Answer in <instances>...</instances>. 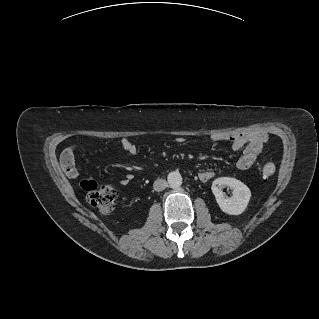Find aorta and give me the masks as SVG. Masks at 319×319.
<instances>
[{"instance_id":"1","label":"aorta","mask_w":319,"mask_h":319,"mask_svg":"<svg viewBox=\"0 0 319 319\" xmlns=\"http://www.w3.org/2000/svg\"><path fill=\"white\" fill-rule=\"evenodd\" d=\"M182 181V176L178 172L171 173L168 176V183L174 189L179 188L182 185Z\"/></svg>"}]
</instances>
